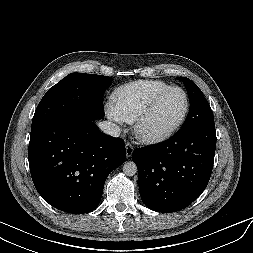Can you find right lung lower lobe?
Segmentation results:
<instances>
[{
  "instance_id": "1",
  "label": "right lung lower lobe",
  "mask_w": 253,
  "mask_h": 253,
  "mask_svg": "<svg viewBox=\"0 0 253 253\" xmlns=\"http://www.w3.org/2000/svg\"><path fill=\"white\" fill-rule=\"evenodd\" d=\"M28 159L44 200L83 214L98 206L106 178L125 161V144L100 132L94 120L67 117L31 130Z\"/></svg>"
}]
</instances>
